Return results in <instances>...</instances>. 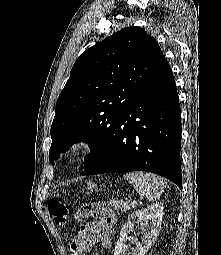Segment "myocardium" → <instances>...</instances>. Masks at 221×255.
<instances>
[{"mask_svg":"<svg viewBox=\"0 0 221 255\" xmlns=\"http://www.w3.org/2000/svg\"><path fill=\"white\" fill-rule=\"evenodd\" d=\"M87 142L84 140L76 141L70 148L68 149L67 156L71 160L80 159L85 152L87 151Z\"/></svg>","mask_w":221,"mask_h":255,"instance_id":"myocardium-1","label":"myocardium"}]
</instances>
